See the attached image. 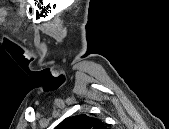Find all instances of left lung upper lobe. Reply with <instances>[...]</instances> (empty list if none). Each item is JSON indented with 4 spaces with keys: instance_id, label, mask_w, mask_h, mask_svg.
<instances>
[{
    "instance_id": "left-lung-upper-lobe-1",
    "label": "left lung upper lobe",
    "mask_w": 169,
    "mask_h": 129,
    "mask_svg": "<svg viewBox=\"0 0 169 129\" xmlns=\"http://www.w3.org/2000/svg\"><path fill=\"white\" fill-rule=\"evenodd\" d=\"M57 129H104L103 123L87 115H77L63 120Z\"/></svg>"
}]
</instances>
